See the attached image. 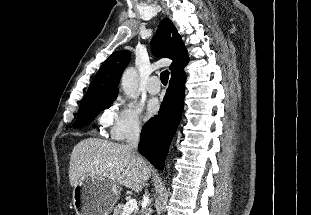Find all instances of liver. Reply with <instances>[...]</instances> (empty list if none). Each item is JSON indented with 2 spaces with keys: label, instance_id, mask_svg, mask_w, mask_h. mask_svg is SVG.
Here are the masks:
<instances>
[{
  "label": "liver",
  "instance_id": "1",
  "mask_svg": "<svg viewBox=\"0 0 311 215\" xmlns=\"http://www.w3.org/2000/svg\"><path fill=\"white\" fill-rule=\"evenodd\" d=\"M87 175L112 181L139 193L151 176V166L126 144L87 138L72 150L69 163L71 186L74 187L80 178Z\"/></svg>",
  "mask_w": 311,
  "mask_h": 215
}]
</instances>
